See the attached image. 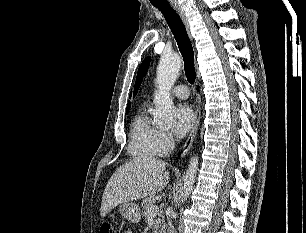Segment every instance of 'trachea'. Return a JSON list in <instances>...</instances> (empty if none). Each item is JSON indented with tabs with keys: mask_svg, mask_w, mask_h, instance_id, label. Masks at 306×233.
Segmentation results:
<instances>
[{
	"mask_svg": "<svg viewBox=\"0 0 306 233\" xmlns=\"http://www.w3.org/2000/svg\"><path fill=\"white\" fill-rule=\"evenodd\" d=\"M153 6L158 8L164 15L182 54L187 80L189 83L193 84L196 77L194 67V51L185 25L170 4H153Z\"/></svg>",
	"mask_w": 306,
	"mask_h": 233,
	"instance_id": "1",
	"label": "trachea"
}]
</instances>
